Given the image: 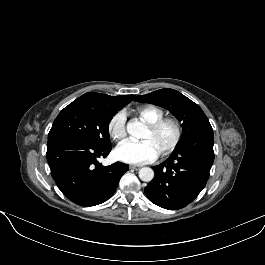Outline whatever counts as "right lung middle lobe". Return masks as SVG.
Instances as JSON below:
<instances>
[{
  "label": "right lung middle lobe",
  "mask_w": 265,
  "mask_h": 265,
  "mask_svg": "<svg viewBox=\"0 0 265 265\" xmlns=\"http://www.w3.org/2000/svg\"><path fill=\"white\" fill-rule=\"evenodd\" d=\"M116 113L73 101L54 120L48 139L56 136H75L96 146H111L109 123Z\"/></svg>",
  "instance_id": "right-lung-middle-lobe-1"
}]
</instances>
